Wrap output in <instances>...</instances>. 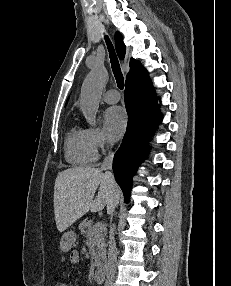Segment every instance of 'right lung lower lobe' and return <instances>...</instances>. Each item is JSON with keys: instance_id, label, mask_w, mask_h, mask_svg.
<instances>
[{"instance_id": "obj_1", "label": "right lung lower lobe", "mask_w": 231, "mask_h": 286, "mask_svg": "<svg viewBox=\"0 0 231 286\" xmlns=\"http://www.w3.org/2000/svg\"><path fill=\"white\" fill-rule=\"evenodd\" d=\"M124 97L129 122L122 144L113 159V171L116 182L123 191L125 202H128L132 177L148 153L145 143L151 137L161 116L147 72L126 81Z\"/></svg>"}]
</instances>
